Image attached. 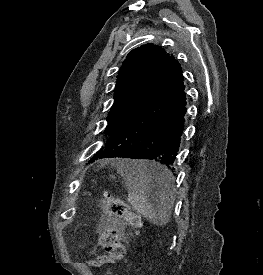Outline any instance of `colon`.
<instances>
[{
  "label": "colon",
  "mask_w": 263,
  "mask_h": 275,
  "mask_svg": "<svg viewBox=\"0 0 263 275\" xmlns=\"http://www.w3.org/2000/svg\"><path fill=\"white\" fill-rule=\"evenodd\" d=\"M101 203L114 220L134 228H140L143 225L142 218L130 211L128 205L119 196L104 193ZM99 243L105 253L89 260L87 262L88 266L99 268L122 260L125 257V246L113 228H106L100 232Z\"/></svg>",
  "instance_id": "1"
}]
</instances>
